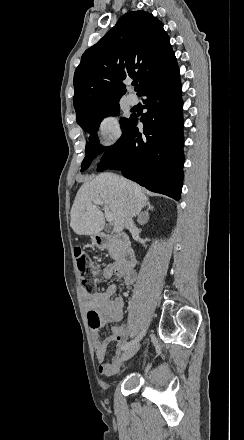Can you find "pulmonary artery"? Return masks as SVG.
<instances>
[{
	"mask_svg": "<svg viewBox=\"0 0 244 440\" xmlns=\"http://www.w3.org/2000/svg\"><path fill=\"white\" fill-rule=\"evenodd\" d=\"M127 100H128V102H129L131 105H135V104H137V102H138V98H137V96H136L135 94H133V93H130V94L127 96Z\"/></svg>",
	"mask_w": 244,
	"mask_h": 440,
	"instance_id": "e3ab8cb5",
	"label": "pulmonary artery"
}]
</instances>
